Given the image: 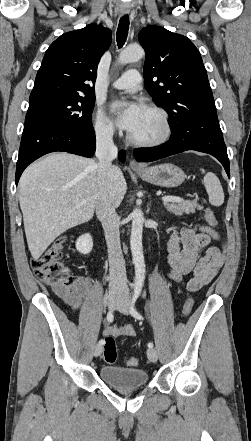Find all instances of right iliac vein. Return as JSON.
Masks as SVG:
<instances>
[{"mask_svg": "<svg viewBox=\"0 0 251 441\" xmlns=\"http://www.w3.org/2000/svg\"><path fill=\"white\" fill-rule=\"evenodd\" d=\"M120 298L119 293H110L108 297V306L110 309L114 308ZM103 351V345L97 344L94 349V356H99Z\"/></svg>", "mask_w": 251, "mask_h": 441, "instance_id": "obj_1", "label": "right iliac vein"}]
</instances>
